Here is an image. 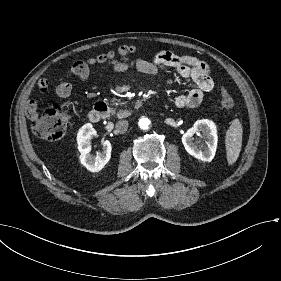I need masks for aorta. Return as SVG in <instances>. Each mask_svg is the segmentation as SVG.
Returning a JSON list of instances; mask_svg holds the SVG:
<instances>
[{"label":"aorta","instance_id":"762f6f07","mask_svg":"<svg viewBox=\"0 0 281 281\" xmlns=\"http://www.w3.org/2000/svg\"><path fill=\"white\" fill-rule=\"evenodd\" d=\"M148 123H149V121H148V120H146L145 122H144V121H142V123L140 124V126H141L142 128H146V127H147V125H148Z\"/></svg>","mask_w":281,"mask_h":281}]
</instances>
